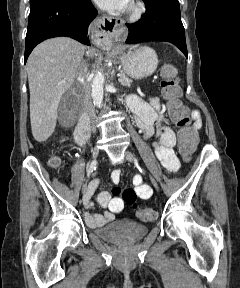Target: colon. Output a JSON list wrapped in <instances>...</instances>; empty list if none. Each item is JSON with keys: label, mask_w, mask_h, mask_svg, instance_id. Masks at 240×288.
Wrapping results in <instances>:
<instances>
[{"label": "colon", "mask_w": 240, "mask_h": 288, "mask_svg": "<svg viewBox=\"0 0 240 288\" xmlns=\"http://www.w3.org/2000/svg\"><path fill=\"white\" fill-rule=\"evenodd\" d=\"M179 73L172 65H164L160 71V84L162 96L167 103V110L171 121L178 127V139L180 151L185 158H189L194 152L197 144V133L191 125L189 111L180 100V88L178 86ZM49 163L57 168L60 159L56 156L50 158ZM123 199L127 204L133 206L136 216L144 221L156 218L153 209L145 208L135 204L136 193L133 189L123 192Z\"/></svg>", "instance_id": "colon-1"}]
</instances>
